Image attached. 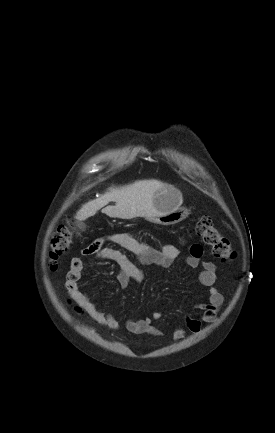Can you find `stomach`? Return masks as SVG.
<instances>
[{
  "instance_id": "obj_1",
  "label": "stomach",
  "mask_w": 275,
  "mask_h": 433,
  "mask_svg": "<svg viewBox=\"0 0 275 433\" xmlns=\"http://www.w3.org/2000/svg\"><path fill=\"white\" fill-rule=\"evenodd\" d=\"M182 196L175 188L165 185L154 193L153 204L157 215L149 218L160 225H174L184 220L189 211L181 208Z\"/></svg>"
}]
</instances>
